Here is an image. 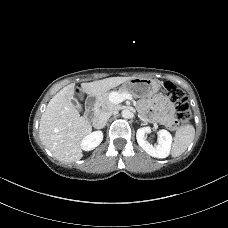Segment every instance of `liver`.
<instances>
[{
    "label": "liver",
    "instance_id": "1",
    "mask_svg": "<svg viewBox=\"0 0 228 228\" xmlns=\"http://www.w3.org/2000/svg\"><path fill=\"white\" fill-rule=\"evenodd\" d=\"M134 77H110L90 83H82L80 90L92 97H99L112 88ZM76 85L71 83L62 88L48 103L39 125L42 144L54 157L62 162H74L83 157L81 142L92 126L80 116L70 100Z\"/></svg>",
    "mask_w": 228,
    "mask_h": 228
}]
</instances>
